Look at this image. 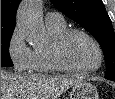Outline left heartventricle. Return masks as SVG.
I'll return each mask as SVG.
<instances>
[{"mask_svg":"<svg viewBox=\"0 0 115 99\" xmlns=\"http://www.w3.org/2000/svg\"><path fill=\"white\" fill-rule=\"evenodd\" d=\"M65 61L79 69L93 67L97 63V52L94 45L83 35H72L63 47Z\"/></svg>","mask_w":115,"mask_h":99,"instance_id":"obj_1","label":"left heart ventricle"}]
</instances>
